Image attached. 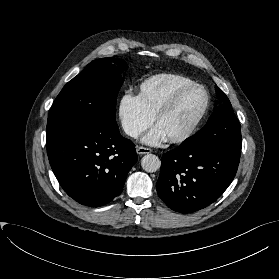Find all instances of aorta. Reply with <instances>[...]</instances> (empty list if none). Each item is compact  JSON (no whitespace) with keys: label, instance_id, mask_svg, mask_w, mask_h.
I'll use <instances>...</instances> for the list:
<instances>
[{"label":"aorta","instance_id":"1","mask_svg":"<svg viewBox=\"0 0 279 279\" xmlns=\"http://www.w3.org/2000/svg\"><path fill=\"white\" fill-rule=\"evenodd\" d=\"M161 165L160 159L154 154H147L141 160L142 168L149 173L159 170Z\"/></svg>","mask_w":279,"mask_h":279}]
</instances>
